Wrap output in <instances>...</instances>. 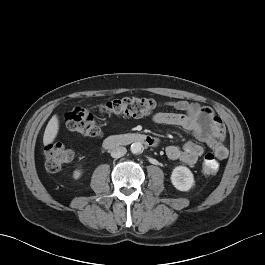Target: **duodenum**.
<instances>
[{
    "label": "duodenum",
    "mask_w": 265,
    "mask_h": 265,
    "mask_svg": "<svg viewBox=\"0 0 265 265\" xmlns=\"http://www.w3.org/2000/svg\"><path fill=\"white\" fill-rule=\"evenodd\" d=\"M133 143H143L148 146H157L158 140L152 136L142 133H127L107 137L103 146L105 149H114L120 146H127Z\"/></svg>",
    "instance_id": "duodenum-1"
}]
</instances>
